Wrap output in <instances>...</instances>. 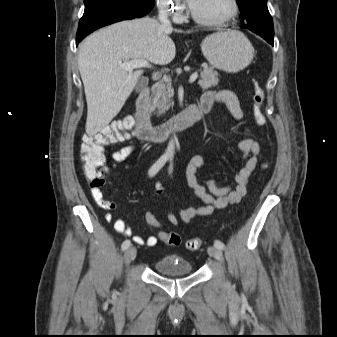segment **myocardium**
Instances as JSON below:
<instances>
[{"mask_svg":"<svg viewBox=\"0 0 337 337\" xmlns=\"http://www.w3.org/2000/svg\"><path fill=\"white\" fill-rule=\"evenodd\" d=\"M230 3V9L229 12L224 16L223 18L220 19H208L199 16L194 12L192 7H190V15L194 21L197 23L204 25V26H209V27H223L230 23L239 13L240 10V4L239 0H229Z\"/></svg>","mask_w":337,"mask_h":337,"instance_id":"1","label":"myocardium"}]
</instances>
